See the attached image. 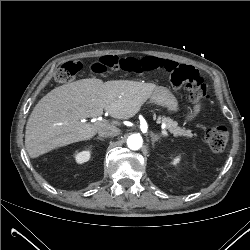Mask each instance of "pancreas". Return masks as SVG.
I'll list each match as a JSON object with an SVG mask.
<instances>
[{
  "label": "pancreas",
  "instance_id": "cf45deb5",
  "mask_svg": "<svg viewBox=\"0 0 250 250\" xmlns=\"http://www.w3.org/2000/svg\"><path fill=\"white\" fill-rule=\"evenodd\" d=\"M158 123H162L166 125V128L173 133L175 136H184L187 138L196 137V133H192L191 130H186L184 127H179L178 123L176 121H173L172 119L168 117H158L157 119Z\"/></svg>",
  "mask_w": 250,
  "mask_h": 250
}]
</instances>
